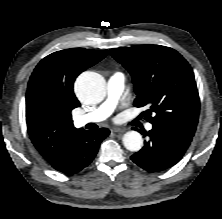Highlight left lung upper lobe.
I'll return each instance as SVG.
<instances>
[{
	"label": "left lung upper lobe",
	"mask_w": 222,
	"mask_h": 219,
	"mask_svg": "<svg viewBox=\"0 0 222 219\" xmlns=\"http://www.w3.org/2000/svg\"><path fill=\"white\" fill-rule=\"evenodd\" d=\"M110 54L131 74L137 94L134 105L148 108L147 121L194 135L200 108L198 90L192 68L176 50L137 45L110 49Z\"/></svg>",
	"instance_id": "1"
}]
</instances>
